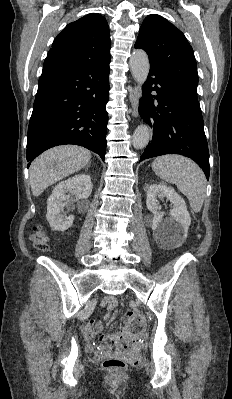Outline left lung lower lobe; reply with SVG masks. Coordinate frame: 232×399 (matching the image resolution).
Listing matches in <instances>:
<instances>
[{"label": "left lung lower lobe", "instance_id": "obj_1", "mask_svg": "<svg viewBox=\"0 0 232 399\" xmlns=\"http://www.w3.org/2000/svg\"><path fill=\"white\" fill-rule=\"evenodd\" d=\"M139 101V114L153 129L151 142L140 161L164 154H180L194 160L209 179V151L200 107L160 70L150 66ZM155 91L156 95L150 93Z\"/></svg>", "mask_w": 232, "mask_h": 399}]
</instances>
